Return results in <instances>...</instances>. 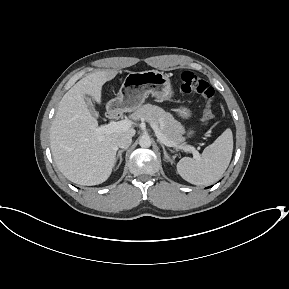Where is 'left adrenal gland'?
<instances>
[{
  "instance_id": "1",
  "label": "left adrenal gland",
  "mask_w": 289,
  "mask_h": 289,
  "mask_svg": "<svg viewBox=\"0 0 289 289\" xmlns=\"http://www.w3.org/2000/svg\"><path fill=\"white\" fill-rule=\"evenodd\" d=\"M159 142V144L161 145L162 149H163V154H164V158L171 162V160L169 159L168 155H167V152H166V149H165V146L163 145V143L160 141V140H157Z\"/></svg>"
}]
</instances>
